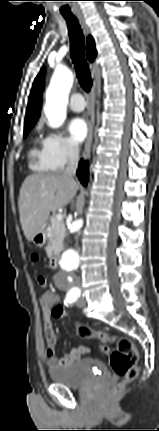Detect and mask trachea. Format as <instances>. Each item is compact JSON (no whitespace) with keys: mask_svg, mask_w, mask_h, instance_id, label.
Instances as JSON below:
<instances>
[{"mask_svg":"<svg viewBox=\"0 0 159 431\" xmlns=\"http://www.w3.org/2000/svg\"><path fill=\"white\" fill-rule=\"evenodd\" d=\"M65 20L70 37L71 58L76 69L78 82L83 90L89 92L92 87V79L89 65L85 59L84 35L75 17H65Z\"/></svg>","mask_w":159,"mask_h":431,"instance_id":"1","label":"trachea"}]
</instances>
